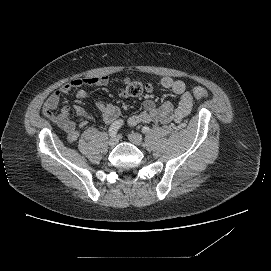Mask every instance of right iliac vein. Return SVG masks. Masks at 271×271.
Here are the masks:
<instances>
[{
	"label": "right iliac vein",
	"mask_w": 271,
	"mask_h": 271,
	"mask_svg": "<svg viewBox=\"0 0 271 271\" xmlns=\"http://www.w3.org/2000/svg\"><path fill=\"white\" fill-rule=\"evenodd\" d=\"M117 143H118V137H116V136L110 138V140H109V142H108L109 146H111V147L116 146Z\"/></svg>",
	"instance_id": "63e3f726"
}]
</instances>
